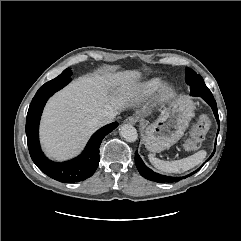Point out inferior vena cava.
<instances>
[{
    "label": "inferior vena cava",
    "instance_id": "1",
    "mask_svg": "<svg viewBox=\"0 0 241 241\" xmlns=\"http://www.w3.org/2000/svg\"><path fill=\"white\" fill-rule=\"evenodd\" d=\"M118 113L116 111L105 112L93 120V124L96 127H101L113 122L114 118Z\"/></svg>",
    "mask_w": 241,
    "mask_h": 241
}]
</instances>
